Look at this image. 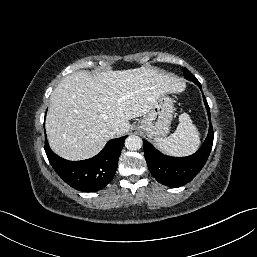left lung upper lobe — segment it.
<instances>
[{
  "label": "left lung upper lobe",
  "instance_id": "left-lung-upper-lobe-1",
  "mask_svg": "<svg viewBox=\"0 0 257 257\" xmlns=\"http://www.w3.org/2000/svg\"><path fill=\"white\" fill-rule=\"evenodd\" d=\"M184 77L188 80L193 81L194 83L198 81L196 77L186 68L184 69Z\"/></svg>",
  "mask_w": 257,
  "mask_h": 257
}]
</instances>
